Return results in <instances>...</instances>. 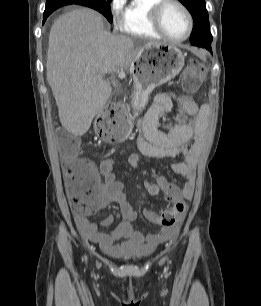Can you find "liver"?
<instances>
[{"mask_svg": "<svg viewBox=\"0 0 261 306\" xmlns=\"http://www.w3.org/2000/svg\"><path fill=\"white\" fill-rule=\"evenodd\" d=\"M152 45L159 43L109 33L101 14L89 8L60 16L49 34L46 75L62 126L85 134L111 95L104 75L127 68Z\"/></svg>", "mask_w": 261, "mask_h": 306, "instance_id": "6515ba94", "label": "liver"}]
</instances>
